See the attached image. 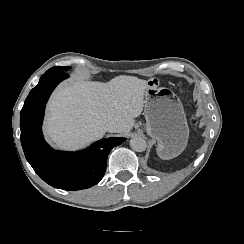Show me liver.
I'll use <instances>...</instances> for the list:
<instances>
[{
    "label": "liver",
    "instance_id": "liver-1",
    "mask_svg": "<svg viewBox=\"0 0 244 244\" xmlns=\"http://www.w3.org/2000/svg\"><path fill=\"white\" fill-rule=\"evenodd\" d=\"M148 86V81L128 76L110 83H66L51 99L45 133L51 142L66 148L104 135V121L117 122V132L127 133L143 112Z\"/></svg>",
    "mask_w": 244,
    "mask_h": 244
}]
</instances>
